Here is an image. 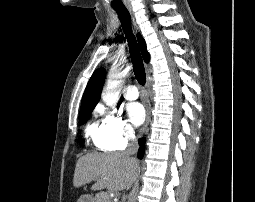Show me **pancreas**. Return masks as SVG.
I'll return each instance as SVG.
<instances>
[{"label":"pancreas","mask_w":255,"mask_h":202,"mask_svg":"<svg viewBox=\"0 0 255 202\" xmlns=\"http://www.w3.org/2000/svg\"><path fill=\"white\" fill-rule=\"evenodd\" d=\"M94 202H112L110 196L106 192L97 193Z\"/></svg>","instance_id":"pancreas-1"}]
</instances>
